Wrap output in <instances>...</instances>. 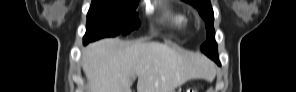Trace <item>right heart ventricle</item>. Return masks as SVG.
Instances as JSON below:
<instances>
[{"label":"right heart ventricle","instance_id":"right-heart-ventricle-1","mask_svg":"<svg viewBox=\"0 0 296 92\" xmlns=\"http://www.w3.org/2000/svg\"><path fill=\"white\" fill-rule=\"evenodd\" d=\"M166 19L173 25L184 28L188 25L189 19L182 13H168Z\"/></svg>","mask_w":296,"mask_h":92}]
</instances>
